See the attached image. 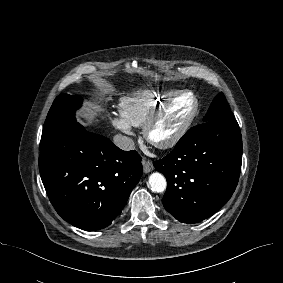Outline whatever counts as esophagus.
Here are the masks:
<instances>
[{
	"label": "esophagus",
	"instance_id": "34e87169",
	"mask_svg": "<svg viewBox=\"0 0 283 283\" xmlns=\"http://www.w3.org/2000/svg\"><path fill=\"white\" fill-rule=\"evenodd\" d=\"M143 170L145 173H149L153 170V163L148 159L142 160Z\"/></svg>",
	"mask_w": 283,
	"mask_h": 283
}]
</instances>
